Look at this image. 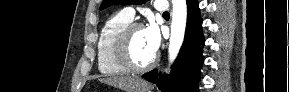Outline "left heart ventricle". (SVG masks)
<instances>
[{"instance_id":"left-heart-ventricle-1","label":"left heart ventricle","mask_w":289,"mask_h":92,"mask_svg":"<svg viewBox=\"0 0 289 92\" xmlns=\"http://www.w3.org/2000/svg\"><path fill=\"white\" fill-rule=\"evenodd\" d=\"M130 53L132 59L138 65H145L154 58L155 54L148 45L144 29H139L133 34Z\"/></svg>"}]
</instances>
